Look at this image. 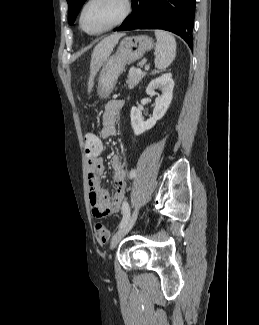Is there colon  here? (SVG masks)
Returning a JSON list of instances; mask_svg holds the SVG:
<instances>
[{
    "instance_id": "colon-1",
    "label": "colon",
    "mask_w": 259,
    "mask_h": 325,
    "mask_svg": "<svg viewBox=\"0 0 259 325\" xmlns=\"http://www.w3.org/2000/svg\"><path fill=\"white\" fill-rule=\"evenodd\" d=\"M85 151H94L96 149H102V138H97L94 133H87L84 137ZM95 234L98 241L106 243L110 238L109 230L102 224L97 223L95 226Z\"/></svg>"
}]
</instances>
